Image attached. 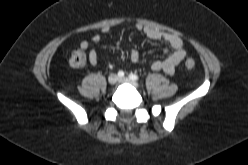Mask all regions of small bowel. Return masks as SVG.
Listing matches in <instances>:
<instances>
[{"mask_svg": "<svg viewBox=\"0 0 248 165\" xmlns=\"http://www.w3.org/2000/svg\"><path fill=\"white\" fill-rule=\"evenodd\" d=\"M137 30L142 32L147 38L162 42L167 46L165 49L167 57L163 60L153 61L151 64L152 69L155 71H163L169 75L174 74L178 65L186 55L183 40L175 34L164 32L151 26L139 24L137 25ZM108 32L109 28L104 27L99 33H96L91 37V41H81L80 48L82 50H89L88 59L91 66H96L98 64L97 51L95 49H90L91 42H99L102 36ZM129 59L134 64L138 63L140 60V53L137 50H132L129 54Z\"/></svg>", "mask_w": 248, "mask_h": 165, "instance_id": "obj_1", "label": "small bowel"}]
</instances>
